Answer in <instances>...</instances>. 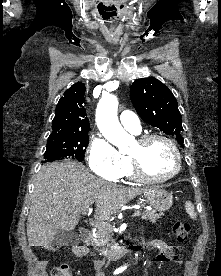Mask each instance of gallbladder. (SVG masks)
I'll return each instance as SVG.
<instances>
[{"mask_svg": "<svg viewBox=\"0 0 221 276\" xmlns=\"http://www.w3.org/2000/svg\"><path fill=\"white\" fill-rule=\"evenodd\" d=\"M78 234L72 231H66L64 229H58L54 240L52 241V246H71L78 242Z\"/></svg>", "mask_w": 221, "mask_h": 276, "instance_id": "gallbladder-1", "label": "gallbladder"}]
</instances>
